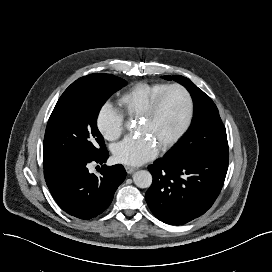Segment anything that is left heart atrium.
Masks as SVG:
<instances>
[{"instance_id": "39dd6f15", "label": "left heart atrium", "mask_w": 272, "mask_h": 272, "mask_svg": "<svg viewBox=\"0 0 272 272\" xmlns=\"http://www.w3.org/2000/svg\"><path fill=\"white\" fill-rule=\"evenodd\" d=\"M157 153L158 147L146 137H127L113 148L115 160L130 166H139L153 159Z\"/></svg>"}]
</instances>
